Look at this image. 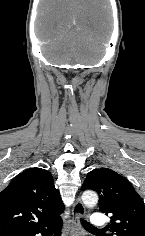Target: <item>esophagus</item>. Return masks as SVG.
Returning <instances> with one entry per match:
<instances>
[{
    "label": "esophagus",
    "mask_w": 145,
    "mask_h": 236,
    "mask_svg": "<svg viewBox=\"0 0 145 236\" xmlns=\"http://www.w3.org/2000/svg\"><path fill=\"white\" fill-rule=\"evenodd\" d=\"M85 207L81 200L78 198L73 205V216H72V224L70 230V236H81V226L79 219L83 215H85Z\"/></svg>",
    "instance_id": "34e87169"
}]
</instances>
